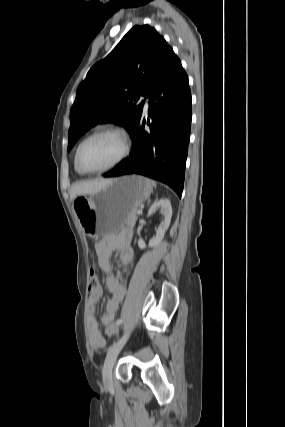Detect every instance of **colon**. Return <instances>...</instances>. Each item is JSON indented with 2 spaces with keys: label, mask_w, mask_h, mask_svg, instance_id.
Returning <instances> with one entry per match:
<instances>
[{
  "label": "colon",
  "mask_w": 285,
  "mask_h": 427,
  "mask_svg": "<svg viewBox=\"0 0 285 427\" xmlns=\"http://www.w3.org/2000/svg\"><path fill=\"white\" fill-rule=\"evenodd\" d=\"M98 285H99L98 275H97L96 271L93 268H91L90 273H89V288L91 290ZM107 332L110 335H115V334H117L118 329L115 325H112L107 329Z\"/></svg>",
  "instance_id": "colon-1"
}]
</instances>
